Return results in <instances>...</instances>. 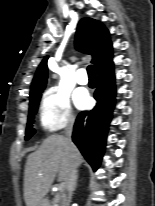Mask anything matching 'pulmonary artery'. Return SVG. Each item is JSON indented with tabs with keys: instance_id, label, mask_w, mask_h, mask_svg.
<instances>
[{
	"instance_id": "1",
	"label": "pulmonary artery",
	"mask_w": 155,
	"mask_h": 206,
	"mask_svg": "<svg viewBox=\"0 0 155 206\" xmlns=\"http://www.w3.org/2000/svg\"><path fill=\"white\" fill-rule=\"evenodd\" d=\"M76 80L81 85H86L88 83V76L84 68L78 70Z\"/></svg>"
}]
</instances>
